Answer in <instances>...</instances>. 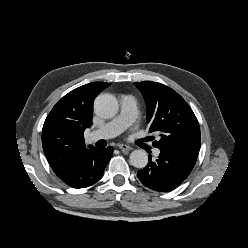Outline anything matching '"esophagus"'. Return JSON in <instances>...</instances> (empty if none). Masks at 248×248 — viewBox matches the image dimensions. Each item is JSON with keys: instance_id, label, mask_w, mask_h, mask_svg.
Segmentation results:
<instances>
[{"instance_id": "esophagus-1", "label": "esophagus", "mask_w": 248, "mask_h": 248, "mask_svg": "<svg viewBox=\"0 0 248 248\" xmlns=\"http://www.w3.org/2000/svg\"><path fill=\"white\" fill-rule=\"evenodd\" d=\"M118 147L122 152H128V151L132 150V147H130L126 144H120Z\"/></svg>"}]
</instances>
